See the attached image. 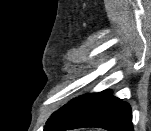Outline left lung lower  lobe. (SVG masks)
<instances>
[{
  "instance_id": "0a47b994",
  "label": "left lung lower lobe",
  "mask_w": 151,
  "mask_h": 131,
  "mask_svg": "<svg viewBox=\"0 0 151 131\" xmlns=\"http://www.w3.org/2000/svg\"><path fill=\"white\" fill-rule=\"evenodd\" d=\"M98 127L108 131H133L131 108L113 97L111 91L86 94L72 99L55 111L44 131H66Z\"/></svg>"
}]
</instances>
